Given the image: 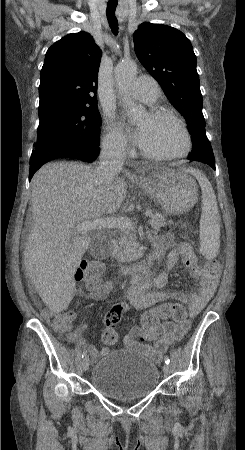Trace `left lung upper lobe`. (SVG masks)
Masks as SVG:
<instances>
[{
    "instance_id": "obj_1",
    "label": "left lung upper lobe",
    "mask_w": 245,
    "mask_h": 450,
    "mask_svg": "<svg viewBox=\"0 0 245 450\" xmlns=\"http://www.w3.org/2000/svg\"><path fill=\"white\" fill-rule=\"evenodd\" d=\"M134 46L141 64L185 117L192 135L189 156L200 154L198 146L209 148L196 56L189 39L173 27L144 22L134 33Z\"/></svg>"
}]
</instances>
